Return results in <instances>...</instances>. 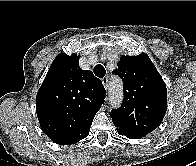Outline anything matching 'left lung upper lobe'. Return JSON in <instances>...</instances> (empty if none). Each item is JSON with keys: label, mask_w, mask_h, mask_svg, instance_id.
<instances>
[{"label": "left lung upper lobe", "mask_w": 196, "mask_h": 166, "mask_svg": "<svg viewBox=\"0 0 196 166\" xmlns=\"http://www.w3.org/2000/svg\"><path fill=\"white\" fill-rule=\"evenodd\" d=\"M123 81L122 106L110 116L117 129L136 138L153 131L167 109V89L147 54L120 57L115 72Z\"/></svg>", "instance_id": "obj_1"}]
</instances>
